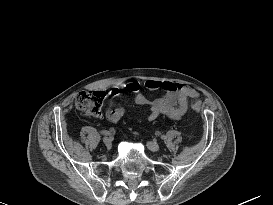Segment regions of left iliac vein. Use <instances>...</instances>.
<instances>
[{"mask_svg":"<svg viewBox=\"0 0 273 205\" xmlns=\"http://www.w3.org/2000/svg\"><path fill=\"white\" fill-rule=\"evenodd\" d=\"M147 147L151 150V151H159L160 150V146L158 143L154 142V141H148L147 142Z\"/></svg>","mask_w":273,"mask_h":205,"instance_id":"obj_1","label":"left iliac vein"}]
</instances>
